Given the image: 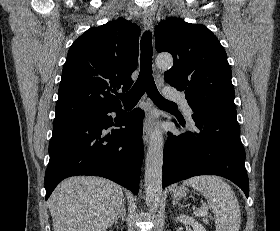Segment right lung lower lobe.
Here are the masks:
<instances>
[{
	"label": "right lung lower lobe",
	"instance_id": "98d812e1",
	"mask_svg": "<svg viewBox=\"0 0 280 231\" xmlns=\"http://www.w3.org/2000/svg\"><path fill=\"white\" fill-rule=\"evenodd\" d=\"M110 112L121 116L118 124L107 115ZM143 117L139 108L123 114L118 106L54 122L45 173L46 200L63 179L76 175L105 177L138 194ZM113 125L125 128L104 137L102 131Z\"/></svg>",
	"mask_w": 280,
	"mask_h": 231
}]
</instances>
